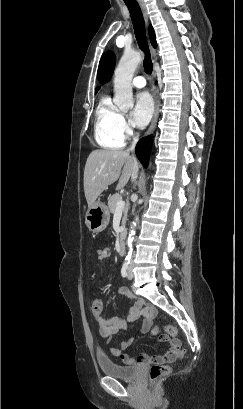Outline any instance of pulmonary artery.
I'll return each instance as SVG.
<instances>
[{
	"label": "pulmonary artery",
	"instance_id": "e3ab8cb5",
	"mask_svg": "<svg viewBox=\"0 0 243 409\" xmlns=\"http://www.w3.org/2000/svg\"><path fill=\"white\" fill-rule=\"evenodd\" d=\"M132 85L136 88H143L146 85V80L144 76H136L132 80Z\"/></svg>",
	"mask_w": 243,
	"mask_h": 409
}]
</instances>
